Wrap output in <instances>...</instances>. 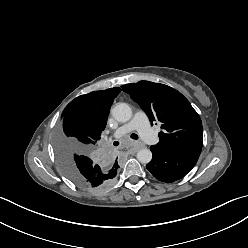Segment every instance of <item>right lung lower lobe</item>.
<instances>
[{
  "label": "right lung lower lobe",
  "instance_id": "1",
  "mask_svg": "<svg viewBox=\"0 0 248 248\" xmlns=\"http://www.w3.org/2000/svg\"><path fill=\"white\" fill-rule=\"evenodd\" d=\"M87 156H83V155H75L74 159L77 165L79 166H84L85 165V161L84 158H86Z\"/></svg>",
  "mask_w": 248,
  "mask_h": 248
}]
</instances>
